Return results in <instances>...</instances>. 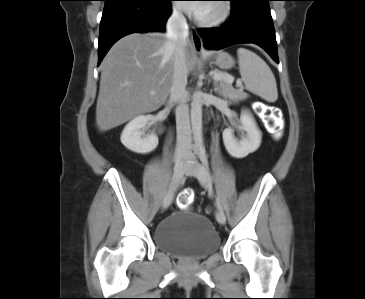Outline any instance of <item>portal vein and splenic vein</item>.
<instances>
[{"label":"portal vein and splenic vein","instance_id":"1","mask_svg":"<svg viewBox=\"0 0 365 299\" xmlns=\"http://www.w3.org/2000/svg\"><path fill=\"white\" fill-rule=\"evenodd\" d=\"M211 75H213V79L215 81L226 80V81H228L230 83L233 82V77H231L230 75L223 76L221 74H216V73H213V72L211 73ZM154 94H155V92H151V95H154Z\"/></svg>","mask_w":365,"mask_h":299}]
</instances>
